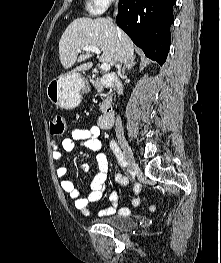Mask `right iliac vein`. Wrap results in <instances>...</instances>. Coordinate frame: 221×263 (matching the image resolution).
Instances as JSON below:
<instances>
[{
    "mask_svg": "<svg viewBox=\"0 0 221 263\" xmlns=\"http://www.w3.org/2000/svg\"><path fill=\"white\" fill-rule=\"evenodd\" d=\"M118 142L124 152L125 158L127 160V163L129 165V170L130 172H135L137 170V165L135 162L134 155L125 139L124 136H119L118 137Z\"/></svg>",
    "mask_w": 221,
    "mask_h": 263,
    "instance_id": "right-iliac-vein-1",
    "label": "right iliac vein"
}]
</instances>
